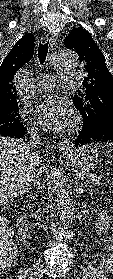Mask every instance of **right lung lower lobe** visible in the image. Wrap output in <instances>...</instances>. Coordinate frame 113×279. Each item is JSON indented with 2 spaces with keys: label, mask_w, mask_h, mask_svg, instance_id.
Wrapping results in <instances>:
<instances>
[{
  "label": "right lung lower lobe",
  "mask_w": 113,
  "mask_h": 279,
  "mask_svg": "<svg viewBox=\"0 0 113 279\" xmlns=\"http://www.w3.org/2000/svg\"><path fill=\"white\" fill-rule=\"evenodd\" d=\"M26 134V128L25 127H19V128H12L5 132L0 133L2 136H8L11 138H22Z\"/></svg>",
  "instance_id": "98d812e1"
}]
</instances>
